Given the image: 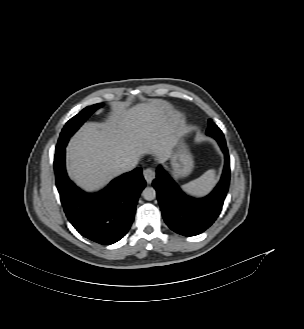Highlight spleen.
I'll use <instances>...</instances> for the list:
<instances>
[{
    "mask_svg": "<svg viewBox=\"0 0 304 329\" xmlns=\"http://www.w3.org/2000/svg\"><path fill=\"white\" fill-rule=\"evenodd\" d=\"M215 184V171L208 170L199 178L185 184L182 188L193 196H202L209 192Z\"/></svg>",
    "mask_w": 304,
    "mask_h": 329,
    "instance_id": "1",
    "label": "spleen"
}]
</instances>
